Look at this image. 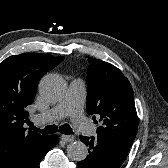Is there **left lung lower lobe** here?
Returning <instances> with one entry per match:
<instances>
[{
    "label": "left lung lower lobe",
    "instance_id": "left-lung-lower-lobe-1",
    "mask_svg": "<svg viewBox=\"0 0 168 168\" xmlns=\"http://www.w3.org/2000/svg\"><path fill=\"white\" fill-rule=\"evenodd\" d=\"M80 140L89 147V155L80 161L78 168H119L129 149L103 136L84 137Z\"/></svg>",
    "mask_w": 168,
    "mask_h": 168
}]
</instances>
